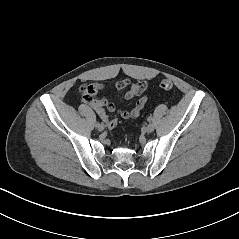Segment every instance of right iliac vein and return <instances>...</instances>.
<instances>
[{
    "instance_id": "63e3f726",
    "label": "right iliac vein",
    "mask_w": 239,
    "mask_h": 239,
    "mask_svg": "<svg viewBox=\"0 0 239 239\" xmlns=\"http://www.w3.org/2000/svg\"><path fill=\"white\" fill-rule=\"evenodd\" d=\"M97 129H98L99 131H103V130H104V125H103V124H99V125L97 126Z\"/></svg>"
}]
</instances>
